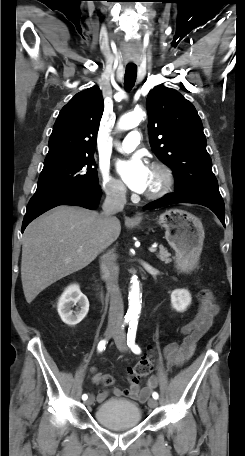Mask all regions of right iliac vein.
I'll return each mask as SVG.
<instances>
[{
	"mask_svg": "<svg viewBox=\"0 0 245 456\" xmlns=\"http://www.w3.org/2000/svg\"><path fill=\"white\" fill-rule=\"evenodd\" d=\"M117 331H118V329H117L116 327H113V326L108 327V328L106 329V331H105V338H106V339L111 338L112 336H114V335L117 333ZM93 402H94V396L91 395V396L86 400L85 404H86L87 406H90V405L93 404Z\"/></svg>",
	"mask_w": 245,
	"mask_h": 456,
	"instance_id": "63e3f726",
	"label": "right iliac vein"
}]
</instances>
